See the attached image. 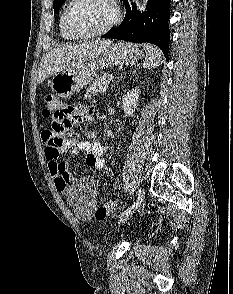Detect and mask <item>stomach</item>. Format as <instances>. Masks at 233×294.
<instances>
[{
    "label": "stomach",
    "mask_w": 233,
    "mask_h": 294,
    "mask_svg": "<svg viewBox=\"0 0 233 294\" xmlns=\"http://www.w3.org/2000/svg\"><path fill=\"white\" fill-rule=\"evenodd\" d=\"M143 56L137 45L117 42L100 56L89 60L86 64L69 68L55 74L50 82L52 90L61 98H69L85 88L98 70L113 65H129Z\"/></svg>",
    "instance_id": "0dacf381"
}]
</instances>
